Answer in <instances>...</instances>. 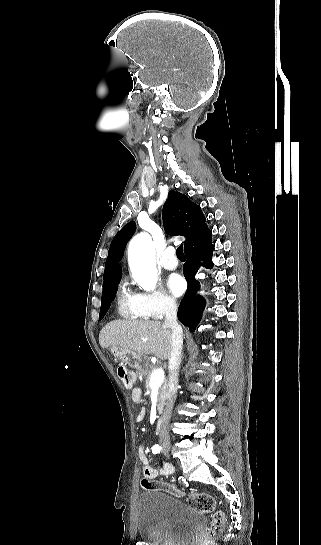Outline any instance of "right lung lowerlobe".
<instances>
[{"mask_svg":"<svg viewBox=\"0 0 321 545\" xmlns=\"http://www.w3.org/2000/svg\"><path fill=\"white\" fill-rule=\"evenodd\" d=\"M212 233L206 226L193 239L185 245V255L187 262L183 266V273L188 282V289L185 293L178 309V319L185 326L194 332L202 318V312L205 307V299L198 295L200 288L195 275L200 268H212L213 245L211 242ZM203 261V263H200Z\"/></svg>","mask_w":321,"mask_h":545,"instance_id":"98d812e1","label":"right lung lower lobe"}]
</instances>
